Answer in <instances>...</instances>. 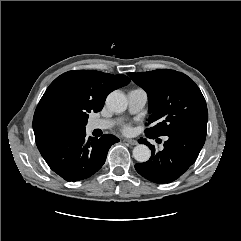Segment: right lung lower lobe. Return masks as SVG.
<instances>
[{
  "label": "right lung lower lobe",
  "mask_w": 241,
  "mask_h": 241,
  "mask_svg": "<svg viewBox=\"0 0 241 241\" xmlns=\"http://www.w3.org/2000/svg\"><path fill=\"white\" fill-rule=\"evenodd\" d=\"M119 142L113 135L86 138L85 128H67L36 137L49 167L63 179L75 182L95 174L105 163L109 148Z\"/></svg>",
  "instance_id": "1"
}]
</instances>
